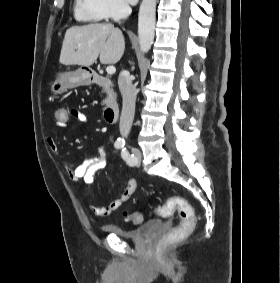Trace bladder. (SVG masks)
Returning a JSON list of instances; mask_svg holds the SVG:
<instances>
[{"label":"bladder","instance_id":"bladder-1","mask_svg":"<svg viewBox=\"0 0 280 283\" xmlns=\"http://www.w3.org/2000/svg\"><path fill=\"white\" fill-rule=\"evenodd\" d=\"M163 226L164 222L162 220L152 219L132 229H125L117 224H108L104 225L102 230L106 234L115 235L122 239L131 240L134 242H140L160 230Z\"/></svg>","mask_w":280,"mask_h":283}]
</instances>
